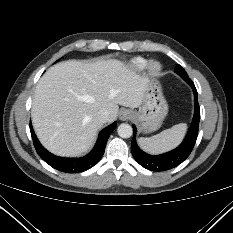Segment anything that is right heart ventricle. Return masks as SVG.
<instances>
[{"mask_svg":"<svg viewBox=\"0 0 233 233\" xmlns=\"http://www.w3.org/2000/svg\"><path fill=\"white\" fill-rule=\"evenodd\" d=\"M147 61L144 58L136 57L130 61V67L132 70L141 71L146 67Z\"/></svg>","mask_w":233,"mask_h":233,"instance_id":"1","label":"right heart ventricle"}]
</instances>
